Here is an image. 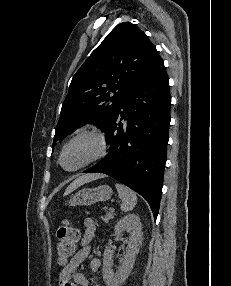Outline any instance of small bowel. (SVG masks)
<instances>
[{
  "label": "small bowel",
  "instance_id": "1",
  "mask_svg": "<svg viewBox=\"0 0 231 286\" xmlns=\"http://www.w3.org/2000/svg\"><path fill=\"white\" fill-rule=\"evenodd\" d=\"M84 234L77 253L70 259L59 275V286H98L92 284L84 274L78 271L79 266L90 253V242L96 231V223L92 218H86L83 222ZM101 263L99 259H92L90 270L97 273Z\"/></svg>",
  "mask_w": 231,
  "mask_h": 286
}]
</instances>
